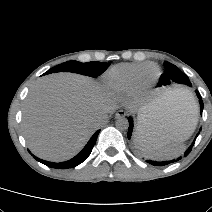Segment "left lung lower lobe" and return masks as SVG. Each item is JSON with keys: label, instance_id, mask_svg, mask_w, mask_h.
<instances>
[{"label": "left lung lower lobe", "instance_id": "left-lung-lower-lobe-1", "mask_svg": "<svg viewBox=\"0 0 212 212\" xmlns=\"http://www.w3.org/2000/svg\"><path fill=\"white\" fill-rule=\"evenodd\" d=\"M191 86V85H190ZM196 94L199 98V103H200V112L202 114V111H203V107H204V104H203V101H202V98H201V95L199 93L198 90H196ZM128 121H129V129H128V139L131 138V135H132V130H133V119L131 117L128 118ZM201 131V129H200ZM199 135V133L196 135V138L197 136ZM195 138V140H196ZM195 140L193 141L192 145L187 149V151L185 152L184 156H187L189 154V152L191 151L194 143H195ZM139 148V147H138ZM140 149V148H139ZM141 150V149H140ZM147 155V154H146ZM177 160H180V158H178ZM177 160H172V161H151V160H147L148 163L154 165V166H164V165H167L171 162H174V161H177Z\"/></svg>", "mask_w": 212, "mask_h": 212}]
</instances>
